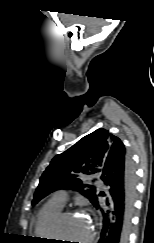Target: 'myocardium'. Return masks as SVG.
Wrapping results in <instances>:
<instances>
[{
	"label": "myocardium",
	"instance_id": "myocardium-1",
	"mask_svg": "<svg viewBox=\"0 0 154 243\" xmlns=\"http://www.w3.org/2000/svg\"><path fill=\"white\" fill-rule=\"evenodd\" d=\"M78 212L75 210H62L52 221L51 223V234L52 237L56 240H58L59 238H61L59 236V229H60V225L62 223V221L71 215H76ZM91 223V231L90 234L88 235V237L82 242V243H91L94 236H95V224L92 220H90Z\"/></svg>",
	"mask_w": 154,
	"mask_h": 243
}]
</instances>
